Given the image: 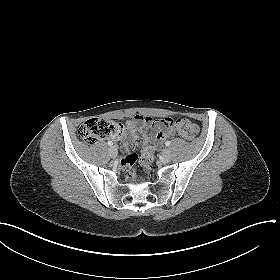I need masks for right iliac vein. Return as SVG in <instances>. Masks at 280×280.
<instances>
[{"label":"right iliac vein","mask_w":280,"mask_h":280,"mask_svg":"<svg viewBox=\"0 0 280 280\" xmlns=\"http://www.w3.org/2000/svg\"><path fill=\"white\" fill-rule=\"evenodd\" d=\"M109 154L112 158H116L118 154L117 148L115 146L110 147Z\"/></svg>","instance_id":"right-iliac-vein-1"}]
</instances>
